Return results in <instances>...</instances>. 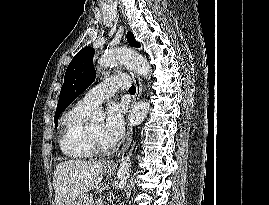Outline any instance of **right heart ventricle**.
Returning a JSON list of instances; mask_svg holds the SVG:
<instances>
[{"label": "right heart ventricle", "mask_w": 269, "mask_h": 205, "mask_svg": "<svg viewBox=\"0 0 269 205\" xmlns=\"http://www.w3.org/2000/svg\"><path fill=\"white\" fill-rule=\"evenodd\" d=\"M90 112L77 104L62 118L59 146L68 159L84 160L93 154L87 142L85 128Z\"/></svg>", "instance_id": "right-heart-ventricle-1"}]
</instances>
